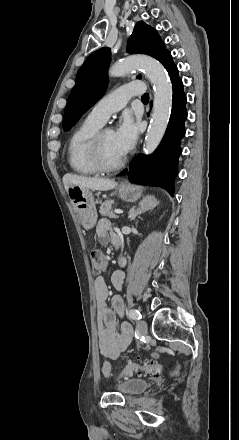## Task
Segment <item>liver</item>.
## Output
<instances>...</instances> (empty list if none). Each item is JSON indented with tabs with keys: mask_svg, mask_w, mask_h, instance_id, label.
Wrapping results in <instances>:
<instances>
[{
	"mask_svg": "<svg viewBox=\"0 0 239 440\" xmlns=\"http://www.w3.org/2000/svg\"><path fill=\"white\" fill-rule=\"evenodd\" d=\"M63 184L66 192H69L70 188H88V190H99V192H106V190H113L116 188L117 182L114 180H108V178H88V176H75V174H65L63 176Z\"/></svg>",
	"mask_w": 239,
	"mask_h": 440,
	"instance_id": "liver-1",
	"label": "liver"
}]
</instances>
